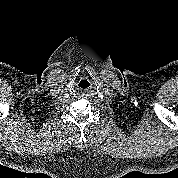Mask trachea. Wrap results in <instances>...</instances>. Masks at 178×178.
I'll use <instances>...</instances> for the list:
<instances>
[{
    "label": "trachea",
    "mask_w": 178,
    "mask_h": 178,
    "mask_svg": "<svg viewBox=\"0 0 178 178\" xmlns=\"http://www.w3.org/2000/svg\"><path fill=\"white\" fill-rule=\"evenodd\" d=\"M90 87V82L86 79L80 80L78 82V88L80 90H87Z\"/></svg>",
    "instance_id": "3493384b"
}]
</instances>
